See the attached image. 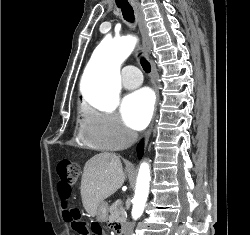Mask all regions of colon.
Instances as JSON below:
<instances>
[{
    "instance_id": "colon-1",
    "label": "colon",
    "mask_w": 250,
    "mask_h": 235,
    "mask_svg": "<svg viewBox=\"0 0 250 235\" xmlns=\"http://www.w3.org/2000/svg\"><path fill=\"white\" fill-rule=\"evenodd\" d=\"M57 174L59 177V198L62 205L66 206L72 192V186L79 178L80 169L76 163L70 160H63L57 165ZM63 217L64 220L70 224L72 229L78 233V235H80V233L83 232L85 228H87L84 222L81 221L77 210L74 208H65L63 210Z\"/></svg>"
}]
</instances>
